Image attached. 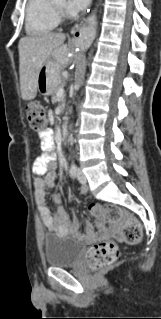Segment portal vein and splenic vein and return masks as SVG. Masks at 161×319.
Wrapping results in <instances>:
<instances>
[{"label":"portal vein and splenic vein","instance_id":"18ae733b","mask_svg":"<svg viewBox=\"0 0 161 319\" xmlns=\"http://www.w3.org/2000/svg\"><path fill=\"white\" fill-rule=\"evenodd\" d=\"M63 95H64V89H63V88H60V89L58 90V92H57V97H58V98H61V97H63Z\"/></svg>","mask_w":161,"mask_h":319}]
</instances>
